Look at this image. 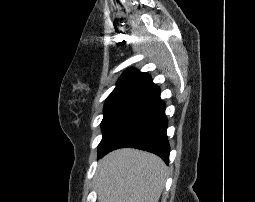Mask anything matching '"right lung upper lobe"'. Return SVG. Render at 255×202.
Masks as SVG:
<instances>
[{
	"label": "right lung upper lobe",
	"mask_w": 255,
	"mask_h": 202,
	"mask_svg": "<svg viewBox=\"0 0 255 202\" xmlns=\"http://www.w3.org/2000/svg\"><path fill=\"white\" fill-rule=\"evenodd\" d=\"M160 100V88L147 73L128 69L119 78L116 88L106 99L104 114L138 113Z\"/></svg>",
	"instance_id": "obj_1"
}]
</instances>
